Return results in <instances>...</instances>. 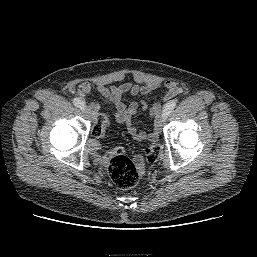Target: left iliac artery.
<instances>
[{"instance_id":"obj_1","label":"left iliac artery","mask_w":257,"mask_h":257,"mask_svg":"<svg viewBox=\"0 0 257 257\" xmlns=\"http://www.w3.org/2000/svg\"><path fill=\"white\" fill-rule=\"evenodd\" d=\"M176 106V101L175 100H171L169 101L163 109V113L166 114L167 116L173 111V109Z\"/></svg>"}]
</instances>
